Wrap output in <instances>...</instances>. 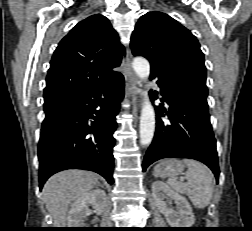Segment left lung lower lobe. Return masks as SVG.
<instances>
[{
    "label": "left lung lower lobe",
    "instance_id": "0a47b994",
    "mask_svg": "<svg viewBox=\"0 0 252 231\" xmlns=\"http://www.w3.org/2000/svg\"><path fill=\"white\" fill-rule=\"evenodd\" d=\"M163 95L156 107V132L143 161V171L162 158H190L203 162L219 180L216 140L208 112L207 86L197 79L165 73H153ZM168 116L163 121L161 116Z\"/></svg>",
    "mask_w": 252,
    "mask_h": 231
}]
</instances>
